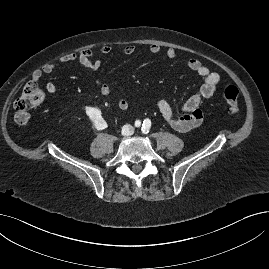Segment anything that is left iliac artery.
Here are the masks:
<instances>
[{
	"instance_id": "44dca946",
	"label": "left iliac artery",
	"mask_w": 269,
	"mask_h": 269,
	"mask_svg": "<svg viewBox=\"0 0 269 269\" xmlns=\"http://www.w3.org/2000/svg\"><path fill=\"white\" fill-rule=\"evenodd\" d=\"M151 127V121L149 119H145L142 124V132L144 134H147L149 132V129Z\"/></svg>"
}]
</instances>
